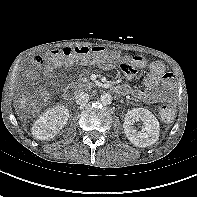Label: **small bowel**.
Returning <instances> with one entry per match:
<instances>
[{"label": "small bowel", "instance_id": "small-bowel-1", "mask_svg": "<svg viewBox=\"0 0 197 197\" xmlns=\"http://www.w3.org/2000/svg\"><path fill=\"white\" fill-rule=\"evenodd\" d=\"M39 57L34 60L35 64H40L37 61ZM125 66H122V70L126 77L133 78L135 76L136 70L134 69L132 63L133 61L125 60ZM44 73L52 77L53 67L46 66ZM34 76V73H31ZM143 88L131 90L129 92L134 95L139 100L144 103H161L167 101L174 88L173 76L168 73L165 66L159 62L154 61L149 65V73L144 78Z\"/></svg>", "mask_w": 197, "mask_h": 197}]
</instances>
